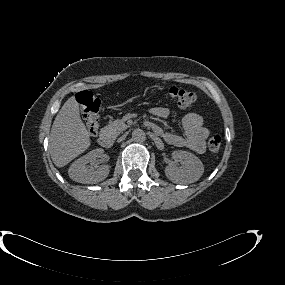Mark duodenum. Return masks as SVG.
Returning a JSON list of instances; mask_svg holds the SVG:
<instances>
[{"mask_svg": "<svg viewBox=\"0 0 285 285\" xmlns=\"http://www.w3.org/2000/svg\"><path fill=\"white\" fill-rule=\"evenodd\" d=\"M98 140H99L100 145L103 147L108 148L112 146V138L109 132H101Z\"/></svg>", "mask_w": 285, "mask_h": 285, "instance_id": "obj_1", "label": "duodenum"}]
</instances>
